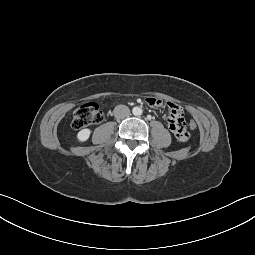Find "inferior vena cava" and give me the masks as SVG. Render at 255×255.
<instances>
[{
	"instance_id": "602c4592",
	"label": "inferior vena cava",
	"mask_w": 255,
	"mask_h": 255,
	"mask_svg": "<svg viewBox=\"0 0 255 255\" xmlns=\"http://www.w3.org/2000/svg\"><path fill=\"white\" fill-rule=\"evenodd\" d=\"M130 115V109L126 105H117L114 108V116L118 119L127 118Z\"/></svg>"
}]
</instances>
